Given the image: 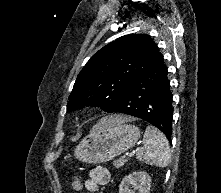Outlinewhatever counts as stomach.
<instances>
[{
  "instance_id": "obj_1",
  "label": "stomach",
  "mask_w": 221,
  "mask_h": 193,
  "mask_svg": "<svg viewBox=\"0 0 221 193\" xmlns=\"http://www.w3.org/2000/svg\"><path fill=\"white\" fill-rule=\"evenodd\" d=\"M140 138V130L132 124L103 127L100 122L74 151L75 157L85 163H105L131 149Z\"/></svg>"
}]
</instances>
